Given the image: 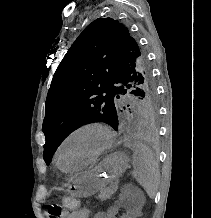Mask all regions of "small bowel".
Returning <instances> with one entry per match:
<instances>
[{"mask_svg":"<svg viewBox=\"0 0 211 218\" xmlns=\"http://www.w3.org/2000/svg\"><path fill=\"white\" fill-rule=\"evenodd\" d=\"M139 212L123 202H117L106 211L97 212L93 218H137ZM74 218H91V212L87 208L75 211Z\"/></svg>","mask_w":211,"mask_h":218,"instance_id":"small-bowel-1","label":"small bowel"}]
</instances>
